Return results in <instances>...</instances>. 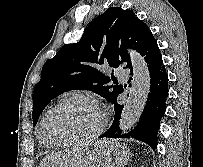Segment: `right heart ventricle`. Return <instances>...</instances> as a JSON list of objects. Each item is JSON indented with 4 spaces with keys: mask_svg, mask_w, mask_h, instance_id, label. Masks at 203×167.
<instances>
[{
    "mask_svg": "<svg viewBox=\"0 0 203 167\" xmlns=\"http://www.w3.org/2000/svg\"><path fill=\"white\" fill-rule=\"evenodd\" d=\"M39 140H40V143H41L43 146L47 147V148H53V147L56 146V145L50 144V143H48V142H45V141L43 140V138L41 137L40 131H39Z\"/></svg>",
    "mask_w": 203,
    "mask_h": 167,
    "instance_id": "1",
    "label": "right heart ventricle"
}]
</instances>
